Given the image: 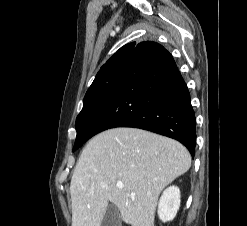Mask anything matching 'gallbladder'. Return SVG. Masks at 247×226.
<instances>
[{"instance_id":"gallbladder-1","label":"gallbladder","mask_w":247,"mask_h":226,"mask_svg":"<svg viewBox=\"0 0 247 226\" xmlns=\"http://www.w3.org/2000/svg\"><path fill=\"white\" fill-rule=\"evenodd\" d=\"M122 218L118 207L111 204L107 207L101 226H121Z\"/></svg>"}]
</instances>
